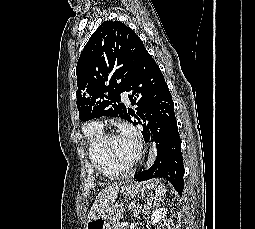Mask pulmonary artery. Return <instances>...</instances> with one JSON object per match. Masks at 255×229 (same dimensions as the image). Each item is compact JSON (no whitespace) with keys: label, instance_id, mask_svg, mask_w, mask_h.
<instances>
[{"label":"pulmonary artery","instance_id":"e3ab8cb5","mask_svg":"<svg viewBox=\"0 0 255 229\" xmlns=\"http://www.w3.org/2000/svg\"><path fill=\"white\" fill-rule=\"evenodd\" d=\"M122 100H123L124 103H127V104L130 102V101H129L128 94H127L126 92H124V93L122 94ZM94 125H95V126L102 127V124H101L100 122H94Z\"/></svg>","mask_w":255,"mask_h":229}]
</instances>
